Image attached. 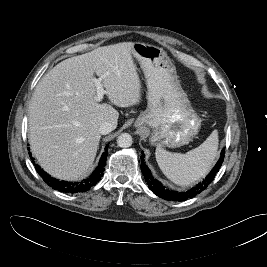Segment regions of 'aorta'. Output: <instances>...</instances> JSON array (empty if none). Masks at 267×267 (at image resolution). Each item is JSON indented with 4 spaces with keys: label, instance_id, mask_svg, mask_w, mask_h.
Returning a JSON list of instances; mask_svg holds the SVG:
<instances>
[{
    "label": "aorta",
    "instance_id": "obj_1",
    "mask_svg": "<svg viewBox=\"0 0 267 267\" xmlns=\"http://www.w3.org/2000/svg\"><path fill=\"white\" fill-rule=\"evenodd\" d=\"M132 136L128 133H122L118 136L117 144L122 148H128L132 145Z\"/></svg>",
    "mask_w": 267,
    "mask_h": 267
}]
</instances>
